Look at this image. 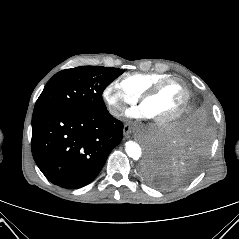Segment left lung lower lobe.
Listing matches in <instances>:
<instances>
[{"instance_id": "obj_1", "label": "left lung lower lobe", "mask_w": 239, "mask_h": 239, "mask_svg": "<svg viewBox=\"0 0 239 239\" xmlns=\"http://www.w3.org/2000/svg\"><path fill=\"white\" fill-rule=\"evenodd\" d=\"M210 138L208 111L194 102L170 132L150 147L142 167L145 178L162 189L188 182L199 171Z\"/></svg>"}]
</instances>
